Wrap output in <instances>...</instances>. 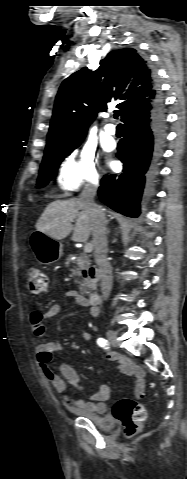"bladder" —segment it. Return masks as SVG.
Instances as JSON below:
<instances>
[{"label": "bladder", "instance_id": "31cf9c89", "mask_svg": "<svg viewBox=\"0 0 187 479\" xmlns=\"http://www.w3.org/2000/svg\"><path fill=\"white\" fill-rule=\"evenodd\" d=\"M80 413H81V417L89 419L91 422L97 425L100 429L110 430L115 425L114 420L107 416L96 415L86 411H81Z\"/></svg>", "mask_w": 187, "mask_h": 479}]
</instances>
